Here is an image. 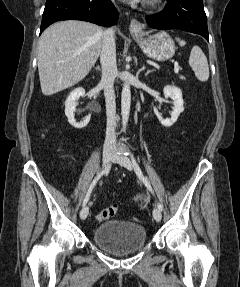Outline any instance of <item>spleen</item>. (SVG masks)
Returning a JSON list of instances; mask_svg holds the SVG:
<instances>
[{
	"label": "spleen",
	"mask_w": 240,
	"mask_h": 287,
	"mask_svg": "<svg viewBox=\"0 0 240 287\" xmlns=\"http://www.w3.org/2000/svg\"><path fill=\"white\" fill-rule=\"evenodd\" d=\"M180 46H184L186 42L176 38ZM189 64L194 71L195 76L201 82H205L209 78L208 61L199 46H194L191 50L189 57Z\"/></svg>",
	"instance_id": "obj_1"
}]
</instances>
